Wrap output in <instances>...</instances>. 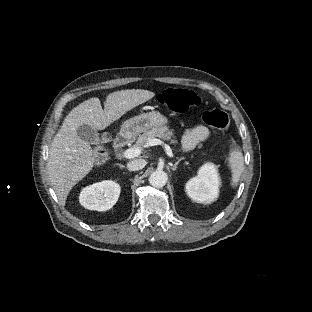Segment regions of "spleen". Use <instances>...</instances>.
<instances>
[{
  "label": "spleen",
  "mask_w": 312,
  "mask_h": 312,
  "mask_svg": "<svg viewBox=\"0 0 312 312\" xmlns=\"http://www.w3.org/2000/svg\"><path fill=\"white\" fill-rule=\"evenodd\" d=\"M229 149L227 162L231 170V187L235 189L243 173L244 159L241 150L235 146V143H231Z\"/></svg>",
  "instance_id": "1"
}]
</instances>
